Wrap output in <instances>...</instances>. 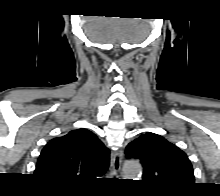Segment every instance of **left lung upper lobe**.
<instances>
[{
    "label": "left lung upper lobe",
    "mask_w": 220,
    "mask_h": 196,
    "mask_svg": "<svg viewBox=\"0 0 220 196\" xmlns=\"http://www.w3.org/2000/svg\"><path fill=\"white\" fill-rule=\"evenodd\" d=\"M128 158L143 165V181L162 193H179L194 184L187 155L162 136L147 132L126 148Z\"/></svg>",
    "instance_id": "5c2ea615"
}]
</instances>
